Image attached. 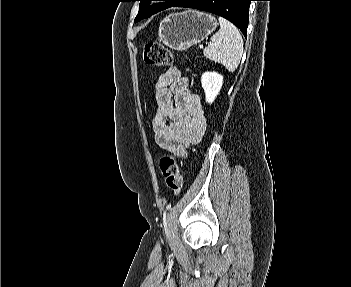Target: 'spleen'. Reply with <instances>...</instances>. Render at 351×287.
<instances>
[{"label": "spleen", "mask_w": 351, "mask_h": 287, "mask_svg": "<svg viewBox=\"0 0 351 287\" xmlns=\"http://www.w3.org/2000/svg\"><path fill=\"white\" fill-rule=\"evenodd\" d=\"M220 29L211 37L212 44L203 50L208 59L221 63L229 72L238 67L243 54V40L239 30L219 17Z\"/></svg>", "instance_id": "3e777b00"}]
</instances>
